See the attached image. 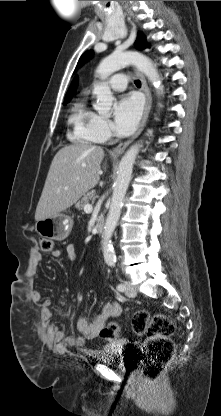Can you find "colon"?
<instances>
[{"label": "colon", "mask_w": 221, "mask_h": 416, "mask_svg": "<svg viewBox=\"0 0 221 416\" xmlns=\"http://www.w3.org/2000/svg\"><path fill=\"white\" fill-rule=\"evenodd\" d=\"M40 247L46 253L55 250L54 241L48 238L40 240ZM130 326L136 335L147 336L141 356V373L145 379L155 381L173 357L175 345L171 337L176 330L175 324L164 314H151L140 309L133 314ZM119 334L120 326L115 321L100 330L101 337L110 341L116 340Z\"/></svg>", "instance_id": "colon-1"}]
</instances>
